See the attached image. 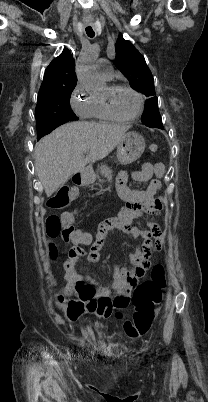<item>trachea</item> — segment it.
<instances>
[{
    "label": "trachea",
    "instance_id": "trachea-1",
    "mask_svg": "<svg viewBox=\"0 0 208 402\" xmlns=\"http://www.w3.org/2000/svg\"><path fill=\"white\" fill-rule=\"evenodd\" d=\"M86 34L88 35V37H94L95 32H94V30L92 29V27H87V28H86Z\"/></svg>",
    "mask_w": 208,
    "mask_h": 402
}]
</instances>
